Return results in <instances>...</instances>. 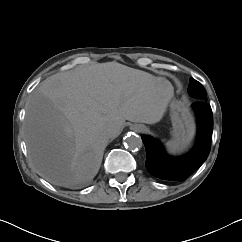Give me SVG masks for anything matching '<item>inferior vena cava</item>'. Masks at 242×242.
Returning <instances> with one entry per match:
<instances>
[{"instance_id": "1", "label": "inferior vena cava", "mask_w": 242, "mask_h": 242, "mask_svg": "<svg viewBox=\"0 0 242 242\" xmlns=\"http://www.w3.org/2000/svg\"><path fill=\"white\" fill-rule=\"evenodd\" d=\"M122 131V126L118 122H113L107 128V134L110 138L115 139L117 138Z\"/></svg>"}]
</instances>
